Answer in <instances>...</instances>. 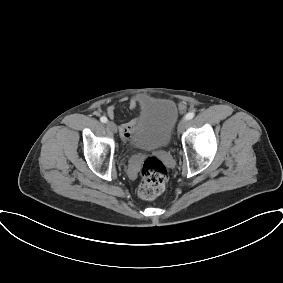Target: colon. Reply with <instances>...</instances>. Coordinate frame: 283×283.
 Masks as SVG:
<instances>
[{
  "label": "colon",
  "mask_w": 283,
  "mask_h": 283,
  "mask_svg": "<svg viewBox=\"0 0 283 283\" xmlns=\"http://www.w3.org/2000/svg\"><path fill=\"white\" fill-rule=\"evenodd\" d=\"M140 177L139 196L144 200H152L164 191L168 171L160 160L149 157L142 165Z\"/></svg>",
  "instance_id": "5ec220e1"
}]
</instances>
